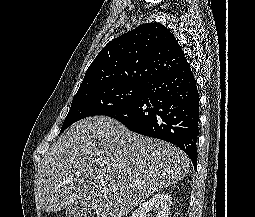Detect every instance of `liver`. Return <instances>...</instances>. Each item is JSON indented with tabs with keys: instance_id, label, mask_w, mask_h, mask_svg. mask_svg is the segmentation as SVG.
<instances>
[{
	"instance_id": "6515ba94",
	"label": "liver",
	"mask_w": 255,
	"mask_h": 217,
	"mask_svg": "<svg viewBox=\"0 0 255 217\" xmlns=\"http://www.w3.org/2000/svg\"><path fill=\"white\" fill-rule=\"evenodd\" d=\"M189 168L178 147L131 132L110 117H88L70 126L43 157L35 201L48 213L89 201L97 217H122Z\"/></svg>"
}]
</instances>
